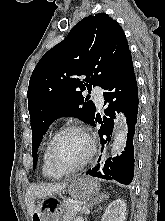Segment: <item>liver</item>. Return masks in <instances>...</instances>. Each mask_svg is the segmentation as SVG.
Instances as JSON below:
<instances>
[{"instance_id": "6515ba94", "label": "liver", "mask_w": 165, "mask_h": 221, "mask_svg": "<svg viewBox=\"0 0 165 221\" xmlns=\"http://www.w3.org/2000/svg\"><path fill=\"white\" fill-rule=\"evenodd\" d=\"M68 185L67 182L59 183V184H39L30 187L25 195V200L28 207L29 215L32 217L34 214L35 207V198L36 197H45L56 192L63 190Z\"/></svg>"}]
</instances>
